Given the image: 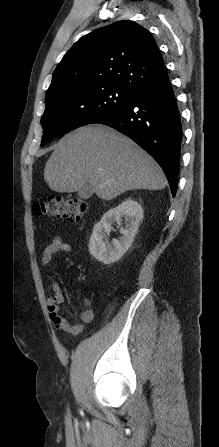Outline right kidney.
Listing matches in <instances>:
<instances>
[{
	"mask_svg": "<svg viewBox=\"0 0 219 447\" xmlns=\"http://www.w3.org/2000/svg\"><path fill=\"white\" fill-rule=\"evenodd\" d=\"M122 218L125 221V227L120 229L122 236L110 243L106 235L111 231L114 222L121 224ZM142 219V206L131 198L109 209L93 228L88 244L90 254L104 264L118 261L132 245Z\"/></svg>",
	"mask_w": 219,
	"mask_h": 447,
	"instance_id": "right-kidney-1",
	"label": "right kidney"
}]
</instances>
